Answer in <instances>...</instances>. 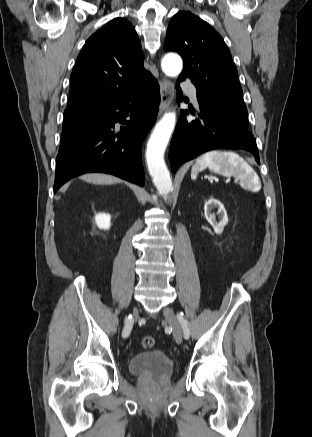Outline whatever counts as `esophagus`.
Segmentation results:
<instances>
[{"instance_id": "34e87169", "label": "esophagus", "mask_w": 312, "mask_h": 437, "mask_svg": "<svg viewBox=\"0 0 312 437\" xmlns=\"http://www.w3.org/2000/svg\"><path fill=\"white\" fill-rule=\"evenodd\" d=\"M160 109L159 115L169 109L170 103L174 96V86L173 83L168 79H160Z\"/></svg>"}]
</instances>
